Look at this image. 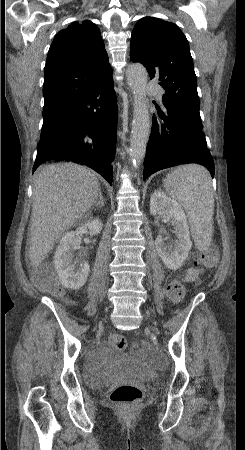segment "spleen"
<instances>
[{
  "mask_svg": "<svg viewBox=\"0 0 245 450\" xmlns=\"http://www.w3.org/2000/svg\"><path fill=\"white\" fill-rule=\"evenodd\" d=\"M164 188L185 210L195 245L200 251H206L213 235L214 195L210 173L201 165H183L166 176Z\"/></svg>",
  "mask_w": 245,
  "mask_h": 450,
  "instance_id": "1",
  "label": "spleen"
}]
</instances>
